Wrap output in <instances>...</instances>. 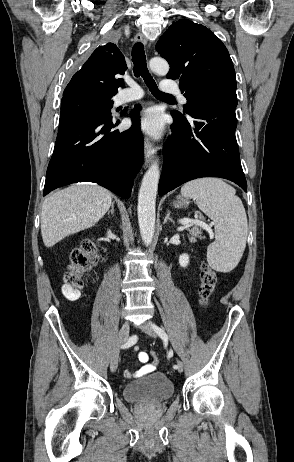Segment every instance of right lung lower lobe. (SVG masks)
I'll use <instances>...</instances> for the list:
<instances>
[{
    "label": "right lung lower lobe",
    "mask_w": 294,
    "mask_h": 462,
    "mask_svg": "<svg viewBox=\"0 0 294 462\" xmlns=\"http://www.w3.org/2000/svg\"><path fill=\"white\" fill-rule=\"evenodd\" d=\"M138 107L131 112L132 127L124 132L111 131L119 122L103 117L59 124L43 196L61 186L94 182L129 198L144 158Z\"/></svg>",
    "instance_id": "1"
}]
</instances>
